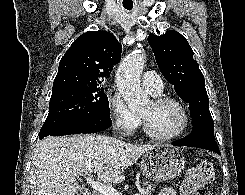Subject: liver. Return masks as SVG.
I'll list each match as a JSON object with an SVG mask.
<instances>
[{"label": "liver", "instance_id": "obj_1", "mask_svg": "<svg viewBox=\"0 0 245 195\" xmlns=\"http://www.w3.org/2000/svg\"><path fill=\"white\" fill-rule=\"evenodd\" d=\"M157 146L131 144L101 134L46 137L33 155L31 195H76V177L93 172L103 182L121 183L123 170Z\"/></svg>", "mask_w": 245, "mask_h": 195}]
</instances>
